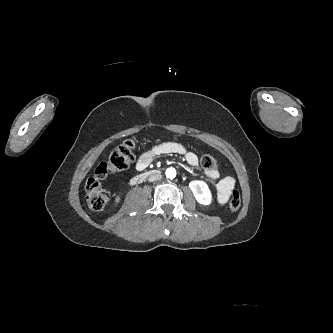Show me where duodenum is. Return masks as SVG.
<instances>
[{"mask_svg": "<svg viewBox=\"0 0 333 333\" xmlns=\"http://www.w3.org/2000/svg\"><path fill=\"white\" fill-rule=\"evenodd\" d=\"M158 175H160L159 170H151V171L142 172V173H139V174L135 175L134 177H132L131 184L132 185L140 184V183L144 182L147 178L152 177V176H158Z\"/></svg>", "mask_w": 333, "mask_h": 333, "instance_id": "duodenum-1", "label": "duodenum"}]
</instances>
